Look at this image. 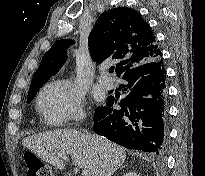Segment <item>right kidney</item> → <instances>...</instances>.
Masks as SVG:
<instances>
[{"instance_id":"1","label":"right kidney","mask_w":205,"mask_h":176,"mask_svg":"<svg viewBox=\"0 0 205 176\" xmlns=\"http://www.w3.org/2000/svg\"><path fill=\"white\" fill-rule=\"evenodd\" d=\"M123 176H140V175L135 172H129V173L124 174Z\"/></svg>"}]
</instances>
